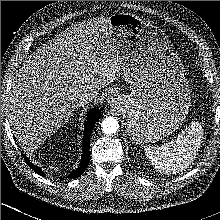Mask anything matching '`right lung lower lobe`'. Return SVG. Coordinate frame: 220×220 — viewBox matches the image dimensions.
Returning a JSON list of instances; mask_svg holds the SVG:
<instances>
[{
  "label": "right lung lower lobe",
  "instance_id": "1",
  "mask_svg": "<svg viewBox=\"0 0 220 220\" xmlns=\"http://www.w3.org/2000/svg\"><path fill=\"white\" fill-rule=\"evenodd\" d=\"M101 115L102 114L99 111V109L96 108H93L88 112L85 121V131L83 136V155H82L81 163L79 164L78 168L75 171H73L70 175H68L69 178H76L80 176L87 168L89 162V155H90L89 148H90L91 132L95 123L100 119ZM22 156L25 158V161L30 168L34 169V171L39 175L45 176V173L42 171V169H40L38 166L30 162V160L26 157L25 154H22Z\"/></svg>",
  "mask_w": 220,
  "mask_h": 220
}]
</instances>
